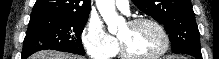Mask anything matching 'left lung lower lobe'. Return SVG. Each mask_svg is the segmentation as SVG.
Instances as JSON below:
<instances>
[{"label":"left lung lower lobe","instance_id":"0a47b994","mask_svg":"<svg viewBox=\"0 0 219 59\" xmlns=\"http://www.w3.org/2000/svg\"><path fill=\"white\" fill-rule=\"evenodd\" d=\"M175 53H185L195 57L196 59H202L200 48H185Z\"/></svg>","mask_w":219,"mask_h":59}]
</instances>
